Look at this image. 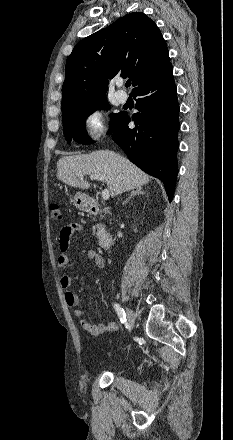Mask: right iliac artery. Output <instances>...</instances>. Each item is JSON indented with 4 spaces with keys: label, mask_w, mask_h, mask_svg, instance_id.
<instances>
[{
    "label": "right iliac artery",
    "mask_w": 233,
    "mask_h": 440,
    "mask_svg": "<svg viewBox=\"0 0 233 440\" xmlns=\"http://www.w3.org/2000/svg\"><path fill=\"white\" fill-rule=\"evenodd\" d=\"M115 311L117 312L122 324L126 322V315L124 309L119 304H114Z\"/></svg>",
    "instance_id": "82829eb1"
}]
</instances>
